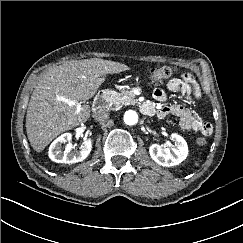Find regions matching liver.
<instances>
[{
    "label": "liver",
    "instance_id": "liver-1",
    "mask_svg": "<svg viewBox=\"0 0 243 243\" xmlns=\"http://www.w3.org/2000/svg\"><path fill=\"white\" fill-rule=\"evenodd\" d=\"M128 69L125 64L100 58L71 60L49 69L35 86L26 114V132L32 148L43 151L60 133L90 117L89 105L78 110L60 98L88 100L105 81V75Z\"/></svg>",
    "mask_w": 243,
    "mask_h": 243
}]
</instances>
